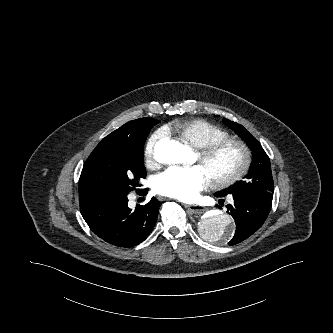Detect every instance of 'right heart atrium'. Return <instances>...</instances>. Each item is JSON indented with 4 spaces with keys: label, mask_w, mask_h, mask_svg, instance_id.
Segmentation results:
<instances>
[{
    "label": "right heart atrium",
    "mask_w": 333,
    "mask_h": 333,
    "mask_svg": "<svg viewBox=\"0 0 333 333\" xmlns=\"http://www.w3.org/2000/svg\"><path fill=\"white\" fill-rule=\"evenodd\" d=\"M161 132H156L152 134L149 139L147 140L144 148V158L147 166H152L156 163L154 150L156 143L161 138Z\"/></svg>",
    "instance_id": "1"
}]
</instances>
